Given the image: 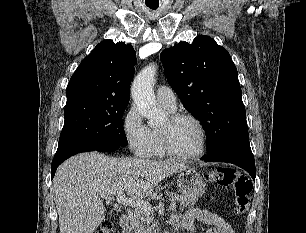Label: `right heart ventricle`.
I'll return each mask as SVG.
<instances>
[{
    "label": "right heart ventricle",
    "instance_id": "obj_1",
    "mask_svg": "<svg viewBox=\"0 0 306 233\" xmlns=\"http://www.w3.org/2000/svg\"><path fill=\"white\" fill-rule=\"evenodd\" d=\"M168 110V109H166ZM169 112H173L168 110ZM154 135V151L153 154L157 156H165L167 153L165 152L162 144V138L160 134V130H153Z\"/></svg>",
    "mask_w": 306,
    "mask_h": 233
}]
</instances>
